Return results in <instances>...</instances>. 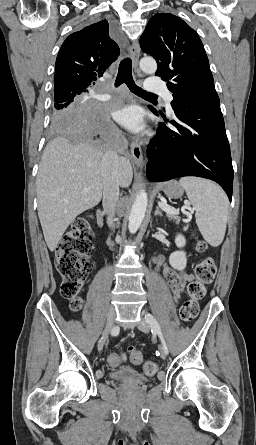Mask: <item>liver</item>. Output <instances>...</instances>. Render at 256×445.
Returning a JSON list of instances; mask_svg holds the SVG:
<instances>
[{"label": "liver", "mask_w": 256, "mask_h": 445, "mask_svg": "<svg viewBox=\"0 0 256 445\" xmlns=\"http://www.w3.org/2000/svg\"><path fill=\"white\" fill-rule=\"evenodd\" d=\"M104 151L87 140L71 144L58 137L44 149L36 180L38 216L50 251H54L71 222L102 198ZM130 161L119 158V183L128 187ZM84 188L88 189L84 192Z\"/></svg>", "instance_id": "1"}]
</instances>
